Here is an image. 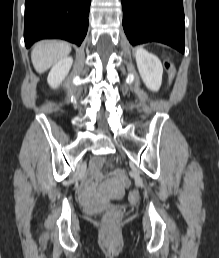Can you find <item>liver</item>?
<instances>
[{
  "label": "liver",
  "mask_w": 219,
  "mask_h": 258,
  "mask_svg": "<svg viewBox=\"0 0 219 258\" xmlns=\"http://www.w3.org/2000/svg\"><path fill=\"white\" fill-rule=\"evenodd\" d=\"M71 47L66 42L41 41L38 42L32 52L31 60L38 73H44L55 63L67 57Z\"/></svg>",
  "instance_id": "6515ba94"
}]
</instances>
